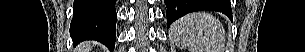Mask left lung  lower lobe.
Returning <instances> with one entry per match:
<instances>
[{"label": "left lung lower lobe", "mask_w": 305, "mask_h": 52, "mask_svg": "<svg viewBox=\"0 0 305 52\" xmlns=\"http://www.w3.org/2000/svg\"><path fill=\"white\" fill-rule=\"evenodd\" d=\"M226 7L218 8L212 5L209 0H165L167 7L166 17L168 20V27L178 18L180 14H187L189 12L198 10H215L224 13L230 19L232 18V10L229 0ZM182 17V16H181Z\"/></svg>", "instance_id": "1"}]
</instances>
